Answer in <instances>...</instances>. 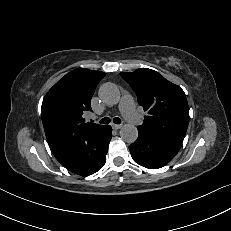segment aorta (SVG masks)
Segmentation results:
<instances>
[{
    "label": "aorta",
    "mask_w": 231,
    "mask_h": 231,
    "mask_svg": "<svg viewBox=\"0 0 231 231\" xmlns=\"http://www.w3.org/2000/svg\"><path fill=\"white\" fill-rule=\"evenodd\" d=\"M99 97L107 105H115L119 102L120 92L117 86L107 82L100 86ZM120 136L127 143H134L138 137V130L132 124H124L120 129Z\"/></svg>",
    "instance_id": "762f6f07"
}]
</instances>
